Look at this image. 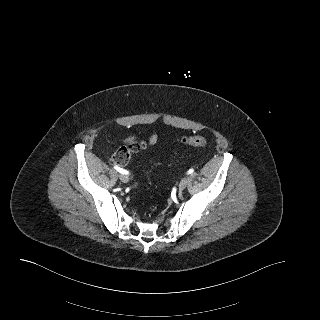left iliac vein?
<instances>
[{"label": "left iliac vein", "instance_id": "left-iliac-vein-1", "mask_svg": "<svg viewBox=\"0 0 320 320\" xmlns=\"http://www.w3.org/2000/svg\"><path fill=\"white\" fill-rule=\"evenodd\" d=\"M188 178L184 177L179 183V190H184L188 184Z\"/></svg>", "mask_w": 320, "mask_h": 320}]
</instances>
